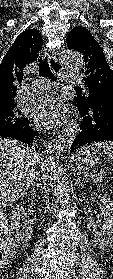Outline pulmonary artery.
<instances>
[{
	"label": "pulmonary artery",
	"instance_id": "1",
	"mask_svg": "<svg viewBox=\"0 0 113 279\" xmlns=\"http://www.w3.org/2000/svg\"><path fill=\"white\" fill-rule=\"evenodd\" d=\"M63 79L73 85H78L82 83L80 76L73 73H65L62 75ZM49 83L43 80H36L25 90L26 97L34 96L46 92L49 89Z\"/></svg>",
	"mask_w": 113,
	"mask_h": 279
}]
</instances>
